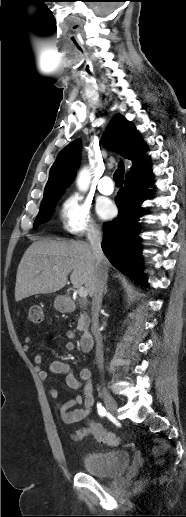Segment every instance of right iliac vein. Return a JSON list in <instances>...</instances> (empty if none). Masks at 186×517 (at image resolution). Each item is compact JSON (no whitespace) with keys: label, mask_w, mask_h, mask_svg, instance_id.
<instances>
[{"label":"right iliac vein","mask_w":186,"mask_h":517,"mask_svg":"<svg viewBox=\"0 0 186 517\" xmlns=\"http://www.w3.org/2000/svg\"><path fill=\"white\" fill-rule=\"evenodd\" d=\"M102 396H103L104 404H105L107 411L111 414H116L117 413V403H116L115 399L105 389H103V391H102Z\"/></svg>","instance_id":"63e3f726"}]
</instances>
